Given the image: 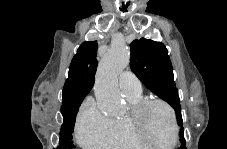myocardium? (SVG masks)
I'll use <instances>...</instances> for the list:
<instances>
[{
    "label": "myocardium",
    "instance_id": "f54148a6",
    "mask_svg": "<svg viewBox=\"0 0 227 149\" xmlns=\"http://www.w3.org/2000/svg\"><path fill=\"white\" fill-rule=\"evenodd\" d=\"M154 105H160L164 107L172 121L173 125V139L169 144H158L150 140V138L144 132V118L146 112L149 110L150 107ZM128 121L130 127L134 134L147 146L152 147H172L175 146L178 142V135H179V126L176 118V113L173 107L164 100L161 99H144L135 106L132 107L130 114L128 115Z\"/></svg>",
    "mask_w": 227,
    "mask_h": 149
}]
</instances>
